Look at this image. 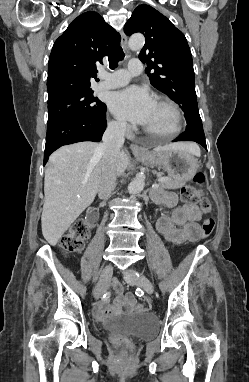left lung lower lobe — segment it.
<instances>
[{"label": "left lung lower lobe", "instance_id": "obj_1", "mask_svg": "<svg viewBox=\"0 0 249 382\" xmlns=\"http://www.w3.org/2000/svg\"><path fill=\"white\" fill-rule=\"evenodd\" d=\"M174 141H194L201 144L207 150L202 126H187L185 132L178 136Z\"/></svg>", "mask_w": 249, "mask_h": 382}]
</instances>
